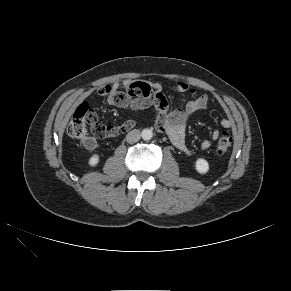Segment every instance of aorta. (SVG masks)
<instances>
[{"label": "aorta", "instance_id": "obj_1", "mask_svg": "<svg viewBox=\"0 0 291 291\" xmlns=\"http://www.w3.org/2000/svg\"><path fill=\"white\" fill-rule=\"evenodd\" d=\"M141 136L143 138V140H150L153 137V132L151 129H143Z\"/></svg>", "mask_w": 291, "mask_h": 291}]
</instances>
